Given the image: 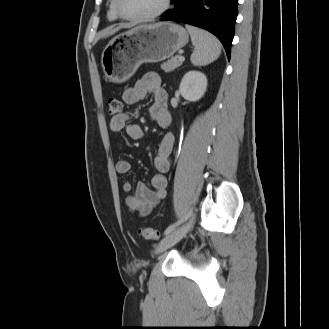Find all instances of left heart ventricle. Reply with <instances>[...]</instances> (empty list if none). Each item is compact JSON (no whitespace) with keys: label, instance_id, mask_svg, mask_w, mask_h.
Wrapping results in <instances>:
<instances>
[{"label":"left heart ventricle","instance_id":"obj_1","mask_svg":"<svg viewBox=\"0 0 329 329\" xmlns=\"http://www.w3.org/2000/svg\"><path fill=\"white\" fill-rule=\"evenodd\" d=\"M164 0H121V9L129 16H144L161 8Z\"/></svg>","mask_w":329,"mask_h":329}]
</instances>
